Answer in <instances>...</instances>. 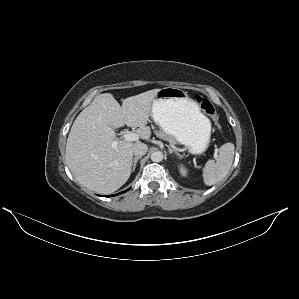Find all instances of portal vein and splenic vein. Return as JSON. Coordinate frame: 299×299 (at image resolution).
Listing matches in <instances>:
<instances>
[{"label":"portal vein and splenic vein","mask_w":299,"mask_h":299,"mask_svg":"<svg viewBox=\"0 0 299 299\" xmlns=\"http://www.w3.org/2000/svg\"><path fill=\"white\" fill-rule=\"evenodd\" d=\"M122 139H124V140H128V141H138V139H139V136H138V134H136V133H126V134H124L123 136H122ZM117 144H118V140H115L114 142H113V144H112V146L114 147V148H116L117 147ZM217 148H216V150H215V152H214V157L215 158H217Z\"/></svg>","instance_id":"obj_1"}]
</instances>
